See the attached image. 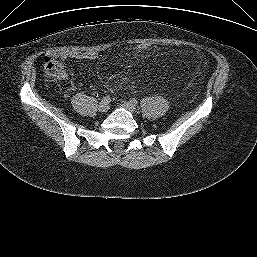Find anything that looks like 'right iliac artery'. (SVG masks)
I'll list each match as a JSON object with an SVG mask.
<instances>
[{"instance_id": "1", "label": "right iliac artery", "mask_w": 257, "mask_h": 257, "mask_svg": "<svg viewBox=\"0 0 257 257\" xmlns=\"http://www.w3.org/2000/svg\"><path fill=\"white\" fill-rule=\"evenodd\" d=\"M101 102H104V103H107V104H108V103L111 102V99H110L109 96H106V97H103V98H102Z\"/></svg>"}]
</instances>
